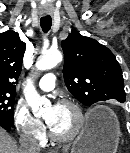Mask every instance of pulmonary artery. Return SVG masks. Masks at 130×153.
<instances>
[{
  "label": "pulmonary artery",
  "mask_w": 130,
  "mask_h": 153,
  "mask_svg": "<svg viewBox=\"0 0 130 153\" xmlns=\"http://www.w3.org/2000/svg\"><path fill=\"white\" fill-rule=\"evenodd\" d=\"M54 74H45L39 81V88L43 91H51L55 87Z\"/></svg>",
  "instance_id": "1"
}]
</instances>
